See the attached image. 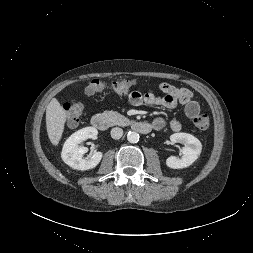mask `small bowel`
<instances>
[{
  "label": "small bowel",
  "instance_id": "c3829d8e",
  "mask_svg": "<svg viewBox=\"0 0 253 253\" xmlns=\"http://www.w3.org/2000/svg\"><path fill=\"white\" fill-rule=\"evenodd\" d=\"M159 90L163 93L162 96L156 95L153 91H148L142 94L138 91H134L130 94L129 100L131 104L140 106L142 104L158 105L168 109H173L177 105L184 107L185 114L188 118H195L200 112L199 104L193 100V94L186 88H178L168 83H161ZM164 120L157 118L152 122L153 129L160 130L164 127ZM182 122L178 119H174L170 122V128L174 132H178L182 129Z\"/></svg>",
  "mask_w": 253,
  "mask_h": 253
}]
</instances>
